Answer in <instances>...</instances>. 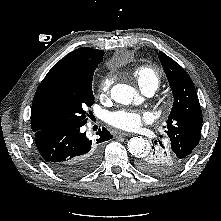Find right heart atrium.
I'll return each instance as SVG.
<instances>
[{"label":"right heart atrium","instance_id":"obj_1","mask_svg":"<svg viewBox=\"0 0 221 221\" xmlns=\"http://www.w3.org/2000/svg\"><path fill=\"white\" fill-rule=\"evenodd\" d=\"M112 84V78L110 76L104 77L98 86V93L100 96H105L110 89V86Z\"/></svg>","mask_w":221,"mask_h":221}]
</instances>
